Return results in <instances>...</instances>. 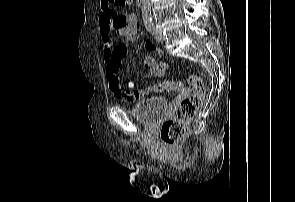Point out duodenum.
Listing matches in <instances>:
<instances>
[{"label":"duodenum","instance_id":"duodenum-1","mask_svg":"<svg viewBox=\"0 0 295 202\" xmlns=\"http://www.w3.org/2000/svg\"><path fill=\"white\" fill-rule=\"evenodd\" d=\"M137 2H138L139 5H142L144 0H137Z\"/></svg>","mask_w":295,"mask_h":202}]
</instances>
